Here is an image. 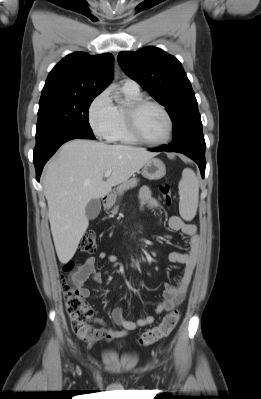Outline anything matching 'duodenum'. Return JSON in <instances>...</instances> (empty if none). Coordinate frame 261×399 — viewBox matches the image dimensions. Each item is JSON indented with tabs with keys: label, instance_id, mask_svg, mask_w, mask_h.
Returning <instances> with one entry per match:
<instances>
[{
	"label": "duodenum",
	"instance_id": "410a0bca",
	"mask_svg": "<svg viewBox=\"0 0 261 399\" xmlns=\"http://www.w3.org/2000/svg\"><path fill=\"white\" fill-rule=\"evenodd\" d=\"M109 201H110L109 195L104 196V198H103L104 205H108Z\"/></svg>",
	"mask_w": 261,
	"mask_h": 399
}]
</instances>
